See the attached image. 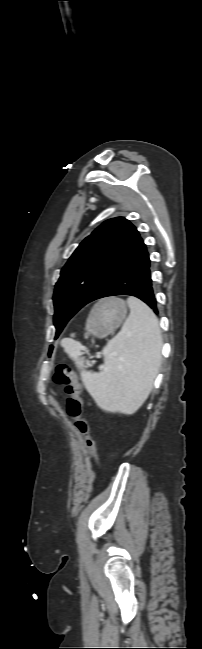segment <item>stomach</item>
I'll return each instance as SVG.
<instances>
[{
    "instance_id": "1",
    "label": "stomach",
    "mask_w": 202,
    "mask_h": 649,
    "mask_svg": "<svg viewBox=\"0 0 202 649\" xmlns=\"http://www.w3.org/2000/svg\"><path fill=\"white\" fill-rule=\"evenodd\" d=\"M127 316V304L119 298L99 301L92 309L86 323L87 334L107 336L118 328Z\"/></svg>"
}]
</instances>
